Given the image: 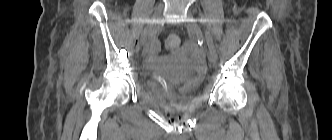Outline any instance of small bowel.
Instances as JSON below:
<instances>
[{"mask_svg": "<svg viewBox=\"0 0 332 140\" xmlns=\"http://www.w3.org/2000/svg\"><path fill=\"white\" fill-rule=\"evenodd\" d=\"M159 50V43L157 40H152L150 45L145 49L146 54L150 60H153Z\"/></svg>", "mask_w": 332, "mask_h": 140, "instance_id": "obj_1", "label": "small bowel"}]
</instances>
